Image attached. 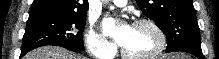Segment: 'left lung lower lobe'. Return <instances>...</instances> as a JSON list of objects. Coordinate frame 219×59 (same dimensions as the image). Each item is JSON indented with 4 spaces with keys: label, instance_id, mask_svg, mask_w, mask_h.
<instances>
[{
    "label": "left lung lower lobe",
    "instance_id": "0a47b994",
    "mask_svg": "<svg viewBox=\"0 0 219 59\" xmlns=\"http://www.w3.org/2000/svg\"><path fill=\"white\" fill-rule=\"evenodd\" d=\"M177 51L187 52L198 57L199 59H204L200 42H192V41L182 42L166 50V52H177Z\"/></svg>",
    "mask_w": 219,
    "mask_h": 59
}]
</instances>
